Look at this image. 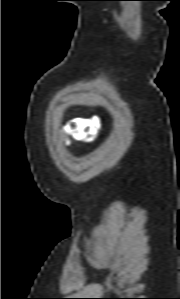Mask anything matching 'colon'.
<instances>
[{
  "instance_id": "5ec220e1",
  "label": "colon",
  "mask_w": 180,
  "mask_h": 299,
  "mask_svg": "<svg viewBox=\"0 0 180 299\" xmlns=\"http://www.w3.org/2000/svg\"><path fill=\"white\" fill-rule=\"evenodd\" d=\"M72 129L74 130V129H75V126H72ZM85 135H86L87 137H91V133L88 132V131L85 132Z\"/></svg>"
}]
</instances>
